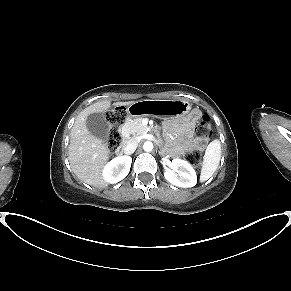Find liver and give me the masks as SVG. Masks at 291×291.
I'll return each mask as SVG.
<instances>
[{
    "label": "liver",
    "mask_w": 291,
    "mask_h": 291,
    "mask_svg": "<svg viewBox=\"0 0 291 291\" xmlns=\"http://www.w3.org/2000/svg\"><path fill=\"white\" fill-rule=\"evenodd\" d=\"M132 103L116 102L114 106H129ZM110 106V101H101L85 108L77 116L70 134L68 159L72 171L82 182L100 188L107 186L102 168L109 159L110 151L103 140L88 131L86 118L92 113L105 112Z\"/></svg>",
    "instance_id": "liver-1"
}]
</instances>
